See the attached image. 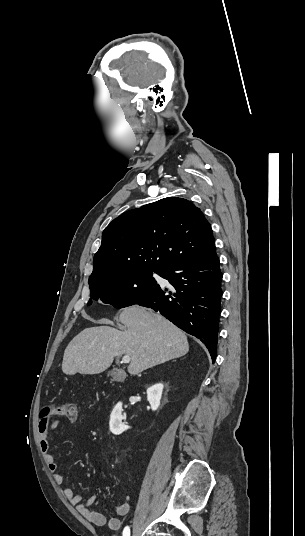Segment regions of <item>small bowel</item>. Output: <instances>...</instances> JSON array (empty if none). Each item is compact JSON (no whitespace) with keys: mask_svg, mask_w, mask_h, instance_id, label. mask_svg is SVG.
I'll use <instances>...</instances> for the list:
<instances>
[{"mask_svg":"<svg viewBox=\"0 0 305 536\" xmlns=\"http://www.w3.org/2000/svg\"><path fill=\"white\" fill-rule=\"evenodd\" d=\"M63 414L64 411L61 408L56 409L55 414L51 411L46 412L44 415L45 420H39V427L37 430V433L39 435V446L41 452L43 453L44 459L47 463L48 470L52 473L54 481L58 485H63L64 477L58 472V464L55 461L54 455L50 451V440L49 435H47L49 427L46 421L49 422V425L51 427L57 426V422L61 419V416H63ZM64 496L76 508L78 513L81 514L89 522L93 523L96 526H104L105 524H107L108 527L112 530L119 529L121 522L118 517L113 516L107 521L106 517L102 513L95 511L89 507V505L97 499L96 496H91L86 501H83L82 496L76 494L70 487L64 489ZM129 509L130 505L128 502L120 503L116 506V514L119 516H124L129 512Z\"/></svg>","mask_w":305,"mask_h":536,"instance_id":"small-bowel-1","label":"small bowel"}]
</instances>
